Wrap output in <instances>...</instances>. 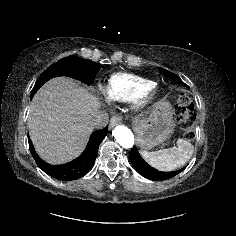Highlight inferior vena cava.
Here are the masks:
<instances>
[{
    "label": "inferior vena cava",
    "mask_w": 236,
    "mask_h": 236,
    "mask_svg": "<svg viewBox=\"0 0 236 236\" xmlns=\"http://www.w3.org/2000/svg\"><path fill=\"white\" fill-rule=\"evenodd\" d=\"M108 123V113L106 111H98L91 120L93 129H102Z\"/></svg>",
    "instance_id": "obj_1"
}]
</instances>
